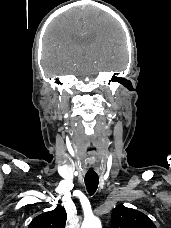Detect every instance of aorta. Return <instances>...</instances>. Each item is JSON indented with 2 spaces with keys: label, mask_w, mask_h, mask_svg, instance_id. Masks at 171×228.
Wrapping results in <instances>:
<instances>
[{
  "label": "aorta",
  "mask_w": 171,
  "mask_h": 228,
  "mask_svg": "<svg viewBox=\"0 0 171 228\" xmlns=\"http://www.w3.org/2000/svg\"><path fill=\"white\" fill-rule=\"evenodd\" d=\"M101 222L97 217H89L86 218L83 223L81 228H101Z\"/></svg>",
  "instance_id": "1"
}]
</instances>
